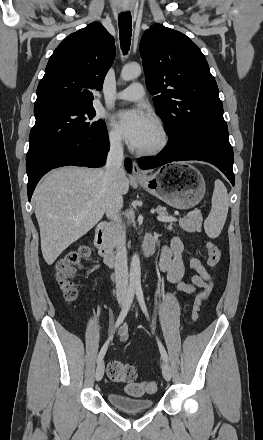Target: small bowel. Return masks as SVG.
Returning <instances> with one entry per match:
<instances>
[{
	"mask_svg": "<svg viewBox=\"0 0 263 440\" xmlns=\"http://www.w3.org/2000/svg\"><path fill=\"white\" fill-rule=\"evenodd\" d=\"M184 245L179 238H173L172 241L163 246L159 259V268L165 274L168 282L178 291L184 294H191L198 288L206 286L211 276L202 263L195 257H188L189 267L194 270L193 275H187L184 260ZM120 340H126L128 337V328L126 325L118 329Z\"/></svg>",
	"mask_w": 263,
	"mask_h": 440,
	"instance_id": "1",
	"label": "small bowel"
}]
</instances>
